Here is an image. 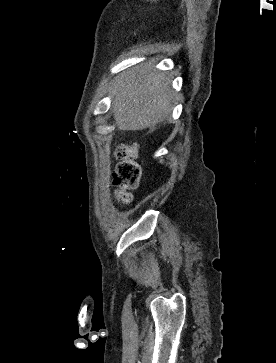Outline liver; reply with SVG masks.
<instances>
[{
  "label": "liver",
  "instance_id": "1",
  "mask_svg": "<svg viewBox=\"0 0 276 363\" xmlns=\"http://www.w3.org/2000/svg\"><path fill=\"white\" fill-rule=\"evenodd\" d=\"M112 95L118 129L136 131L153 127L168 118L175 93L164 73L145 65L123 73Z\"/></svg>",
  "mask_w": 276,
  "mask_h": 363
}]
</instances>
